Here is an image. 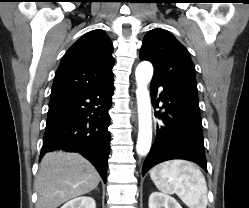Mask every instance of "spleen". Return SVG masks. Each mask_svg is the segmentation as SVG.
<instances>
[{"label": "spleen", "mask_w": 249, "mask_h": 208, "mask_svg": "<svg viewBox=\"0 0 249 208\" xmlns=\"http://www.w3.org/2000/svg\"><path fill=\"white\" fill-rule=\"evenodd\" d=\"M150 177L160 191L176 194L189 208L207 207L205 177L193 163L166 161L151 169Z\"/></svg>", "instance_id": "spleen-1"}]
</instances>
